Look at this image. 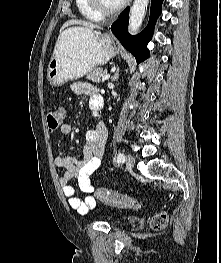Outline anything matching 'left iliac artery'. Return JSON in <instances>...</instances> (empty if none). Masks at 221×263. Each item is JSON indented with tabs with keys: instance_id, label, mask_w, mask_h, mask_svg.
<instances>
[{
	"instance_id": "left-iliac-artery-1",
	"label": "left iliac artery",
	"mask_w": 221,
	"mask_h": 263,
	"mask_svg": "<svg viewBox=\"0 0 221 263\" xmlns=\"http://www.w3.org/2000/svg\"><path fill=\"white\" fill-rule=\"evenodd\" d=\"M125 161V155L123 153H119L117 156V163H121Z\"/></svg>"
}]
</instances>
